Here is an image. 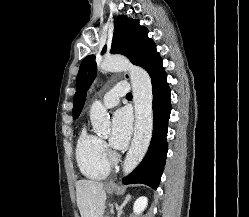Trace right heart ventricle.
<instances>
[{"label": "right heart ventricle", "mask_w": 249, "mask_h": 217, "mask_svg": "<svg viewBox=\"0 0 249 217\" xmlns=\"http://www.w3.org/2000/svg\"><path fill=\"white\" fill-rule=\"evenodd\" d=\"M76 160L81 173L92 180H102L110 172V164L99 137L84 126L76 144Z\"/></svg>", "instance_id": "1"}]
</instances>
